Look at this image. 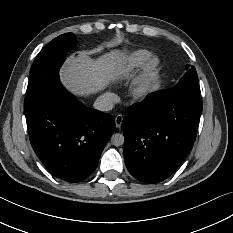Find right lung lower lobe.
<instances>
[{
  "instance_id": "1",
  "label": "right lung lower lobe",
  "mask_w": 233,
  "mask_h": 233,
  "mask_svg": "<svg viewBox=\"0 0 233 233\" xmlns=\"http://www.w3.org/2000/svg\"><path fill=\"white\" fill-rule=\"evenodd\" d=\"M24 112L35 153L51 174L71 183L94 172L115 129L113 115L86 107L59 79Z\"/></svg>"
}]
</instances>
